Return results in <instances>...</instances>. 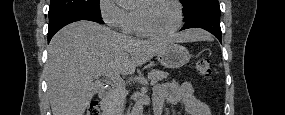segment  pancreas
I'll return each instance as SVG.
<instances>
[{
    "label": "pancreas",
    "mask_w": 285,
    "mask_h": 115,
    "mask_svg": "<svg viewBox=\"0 0 285 115\" xmlns=\"http://www.w3.org/2000/svg\"><path fill=\"white\" fill-rule=\"evenodd\" d=\"M167 72L159 70H151L148 73V78L151 80V83L155 84L158 81L166 79L168 77ZM127 91L124 85H114V87L109 91L106 99L104 108L107 112L112 114L119 115L122 111L126 100Z\"/></svg>",
    "instance_id": "obj_1"
}]
</instances>
